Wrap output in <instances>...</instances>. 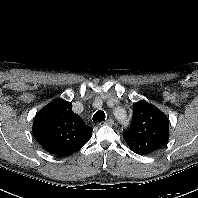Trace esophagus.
Wrapping results in <instances>:
<instances>
[{
  "label": "esophagus",
  "mask_w": 198,
  "mask_h": 198,
  "mask_svg": "<svg viewBox=\"0 0 198 198\" xmlns=\"http://www.w3.org/2000/svg\"><path fill=\"white\" fill-rule=\"evenodd\" d=\"M113 124H114V120L112 118H109L106 121L99 123L100 126H104V125L112 126Z\"/></svg>",
  "instance_id": "obj_1"
}]
</instances>
